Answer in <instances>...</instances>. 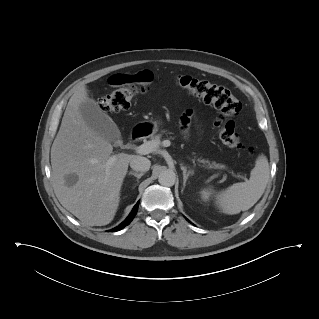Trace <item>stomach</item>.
Wrapping results in <instances>:
<instances>
[{
  "label": "stomach",
  "instance_id": "0dacf381",
  "mask_svg": "<svg viewBox=\"0 0 319 319\" xmlns=\"http://www.w3.org/2000/svg\"><path fill=\"white\" fill-rule=\"evenodd\" d=\"M153 124V131H157L158 127L162 124L161 120L155 119L151 121Z\"/></svg>",
  "mask_w": 319,
  "mask_h": 319
}]
</instances>
